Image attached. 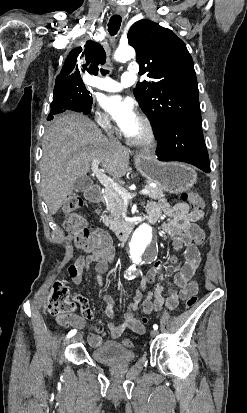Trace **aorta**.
<instances>
[{
  "mask_svg": "<svg viewBox=\"0 0 247 413\" xmlns=\"http://www.w3.org/2000/svg\"><path fill=\"white\" fill-rule=\"evenodd\" d=\"M135 56V50L130 46L117 48L114 58L118 62H127ZM151 236V227L147 224H142L135 233V239H138V248L134 252V261L139 262L140 256L143 252V243H146Z\"/></svg>",
  "mask_w": 247,
  "mask_h": 413,
  "instance_id": "aorta-1",
  "label": "aorta"
}]
</instances>
